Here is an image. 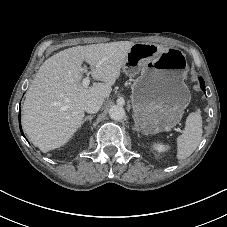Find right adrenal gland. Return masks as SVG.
I'll return each instance as SVG.
<instances>
[{
	"label": "right adrenal gland",
	"instance_id": "1",
	"mask_svg": "<svg viewBox=\"0 0 227 227\" xmlns=\"http://www.w3.org/2000/svg\"><path fill=\"white\" fill-rule=\"evenodd\" d=\"M94 116H95V115H88V116H86V117L83 119V121H82V125H83L87 120H89V122L91 123V121H92V119H93Z\"/></svg>",
	"mask_w": 227,
	"mask_h": 227
}]
</instances>
